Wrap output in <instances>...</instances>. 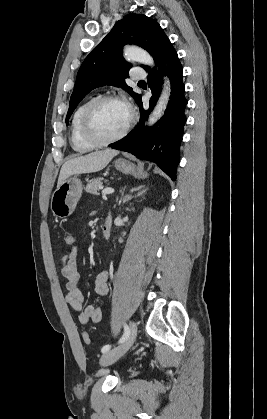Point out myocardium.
<instances>
[{"label":"myocardium","instance_id":"obj_1","mask_svg":"<svg viewBox=\"0 0 267 419\" xmlns=\"http://www.w3.org/2000/svg\"><path fill=\"white\" fill-rule=\"evenodd\" d=\"M111 101L121 102L125 104L129 110V119L126 125L124 126V128L118 134L110 138H101L97 136L92 130L91 117L97 107H99L103 103L111 102ZM135 119H136L135 112L124 97L115 95V94L102 95V96L92 99L88 103V105L85 107L81 116L80 132L84 140H86L88 143L94 146H105V145H109L111 143L117 142L121 140L122 138H124L129 132L132 125L134 124Z\"/></svg>","mask_w":267,"mask_h":419}]
</instances>
